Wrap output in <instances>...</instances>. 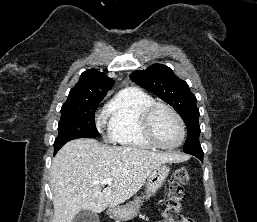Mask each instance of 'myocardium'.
Segmentation results:
<instances>
[{
    "instance_id": "f54148a6",
    "label": "myocardium",
    "mask_w": 257,
    "mask_h": 222,
    "mask_svg": "<svg viewBox=\"0 0 257 222\" xmlns=\"http://www.w3.org/2000/svg\"><path fill=\"white\" fill-rule=\"evenodd\" d=\"M159 109L168 110L178 122V125L180 128V139L174 145L168 146V145L161 144L154 136V133L152 130V119L154 114ZM140 124H141V130L144 138L148 143H150L155 148L163 149V150H175L181 147L185 141V137H186L185 122L181 117V115L178 113V111L169 104L154 102L153 104L149 105L142 113Z\"/></svg>"
}]
</instances>
